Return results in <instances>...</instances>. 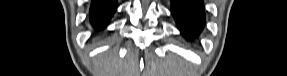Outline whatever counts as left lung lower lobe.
Here are the masks:
<instances>
[{
    "label": "left lung lower lobe",
    "mask_w": 287,
    "mask_h": 76,
    "mask_svg": "<svg viewBox=\"0 0 287 76\" xmlns=\"http://www.w3.org/2000/svg\"><path fill=\"white\" fill-rule=\"evenodd\" d=\"M172 15L184 37L192 40L203 29L205 14L202 0H171Z\"/></svg>",
    "instance_id": "left-lung-lower-lobe-1"
}]
</instances>
